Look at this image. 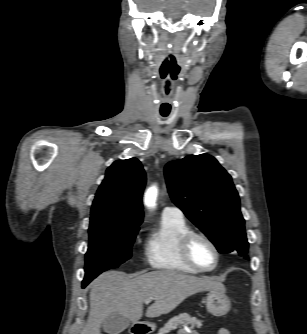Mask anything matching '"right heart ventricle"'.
<instances>
[{
	"label": "right heart ventricle",
	"mask_w": 307,
	"mask_h": 334,
	"mask_svg": "<svg viewBox=\"0 0 307 334\" xmlns=\"http://www.w3.org/2000/svg\"><path fill=\"white\" fill-rule=\"evenodd\" d=\"M190 230L184 218L162 216L159 226L150 233L145 244L144 254L149 266L172 273H199L183 260L179 249L180 239Z\"/></svg>",
	"instance_id": "e07e8e85"
}]
</instances>
